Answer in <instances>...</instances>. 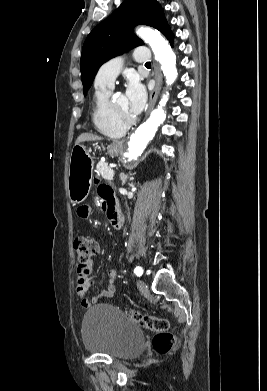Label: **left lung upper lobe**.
I'll list each match as a JSON object with an SVG mask.
<instances>
[{"instance_id":"5c2ea615","label":"left lung upper lobe","mask_w":267,"mask_h":391,"mask_svg":"<svg viewBox=\"0 0 267 391\" xmlns=\"http://www.w3.org/2000/svg\"><path fill=\"white\" fill-rule=\"evenodd\" d=\"M139 24L152 26L162 34L169 30L156 0H126L91 31L84 42L80 62L84 95L104 62L143 45L132 32Z\"/></svg>"}]
</instances>
